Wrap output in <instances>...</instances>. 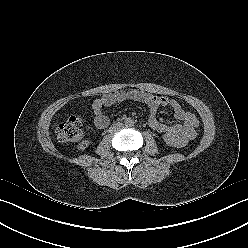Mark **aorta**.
<instances>
[{"mask_svg": "<svg viewBox=\"0 0 248 248\" xmlns=\"http://www.w3.org/2000/svg\"><path fill=\"white\" fill-rule=\"evenodd\" d=\"M124 123H125L126 127H133L134 126V120L131 118H127Z\"/></svg>", "mask_w": 248, "mask_h": 248, "instance_id": "aorta-1", "label": "aorta"}]
</instances>
